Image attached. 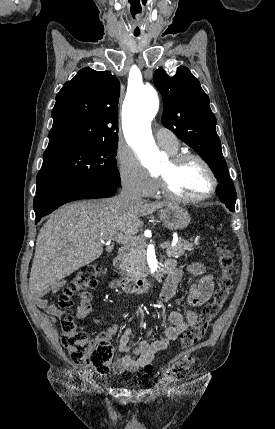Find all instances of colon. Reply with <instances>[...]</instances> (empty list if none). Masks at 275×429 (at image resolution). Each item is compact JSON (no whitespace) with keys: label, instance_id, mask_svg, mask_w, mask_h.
Instances as JSON below:
<instances>
[{"label":"colon","instance_id":"obj_1","mask_svg":"<svg viewBox=\"0 0 275 429\" xmlns=\"http://www.w3.org/2000/svg\"><path fill=\"white\" fill-rule=\"evenodd\" d=\"M221 274L214 298L205 304L197 322L181 337L182 350L165 367L163 379L176 381L184 378L194 363L192 349L206 336L208 328L215 317L221 312L233 290L234 259L227 242L223 238L214 240ZM101 267L89 264L81 268L63 289L59 297V305L66 312L61 322V340L73 362L86 364L100 373L110 370L113 360V347L108 337L99 335L89 338L77 325L71 315L73 297L85 289L93 288L98 283Z\"/></svg>","mask_w":275,"mask_h":429}]
</instances>
